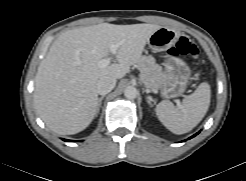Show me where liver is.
<instances>
[{
  "label": "liver",
  "mask_w": 246,
  "mask_h": 181,
  "mask_svg": "<svg viewBox=\"0 0 246 181\" xmlns=\"http://www.w3.org/2000/svg\"><path fill=\"white\" fill-rule=\"evenodd\" d=\"M155 24L101 23L67 30L51 45L35 76V109L53 132L71 135L87 128L97 112V82L102 77L123 78L136 64ZM119 44L118 63L99 67Z\"/></svg>",
  "instance_id": "6515ba94"
}]
</instances>
